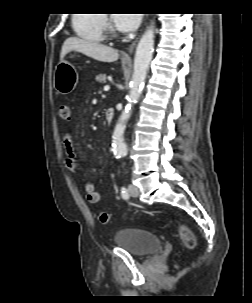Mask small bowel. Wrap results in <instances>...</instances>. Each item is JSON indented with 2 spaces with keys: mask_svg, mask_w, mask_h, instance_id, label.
<instances>
[{
  "mask_svg": "<svg viewBox=\"0 0 252 303\" xmlns=\"http://www.w3.org/2000/svg\"><path fill=\"white\" fill-rule=\"evenodd\" d=\"M62 146L65 151V167L71 173H76L78 171L76 154L74 150L73 140L70 135H65L62 140ZM84 191L87 196V200L91 204L100 203L102 199V194L95 189L92 182L86 181L84 183Z\"/></svg>",
  "mask_w": 252,
  "mask_h": 303,
  "instance_id": "c3829d8e",
  "label": "small bowel"
}]
</instances>
